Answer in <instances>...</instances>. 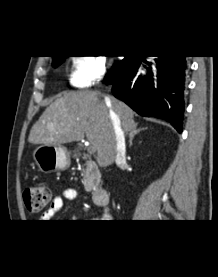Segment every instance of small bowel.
Instances as JSON below:
<instances>
[{"instance_id": "1", "label": "small bowel", "mask_w": 218, "mask_h": 277, "mask_svg": "<svg viewBox=\"0 0 218 277\" xmlns=\"http://www.w3.org/2000/svg\"><path fill=\"white\" fill-rule=\"evenodd\" d=\"M79 199V192L75 188H66L61 195L55 196L49 208L42 215V219H49L59 212L64 205V200H77Z\"/></svg>"}]
</instances>
